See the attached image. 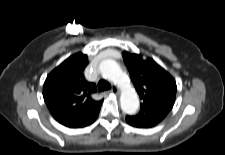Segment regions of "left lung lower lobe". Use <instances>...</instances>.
I'll return each mask as SVG.
<instances>
[{
    "label": "left lung lower lobe",
    "mask_w": 225,
    "mask_h": 155,
    "mask_svg": "<svg viewBox=\"0 0 225 155\" xmlns=\"http://www.w3.org/2000/svg\"><path fill=\"white\" fill-rule=\"evenodd\" d=\"M126 122H127L128 124L132 125V121H131V119H130L128 116H126Z\"/></svg>",
    "instance_id": "0a47b994"
}]
</instances>
